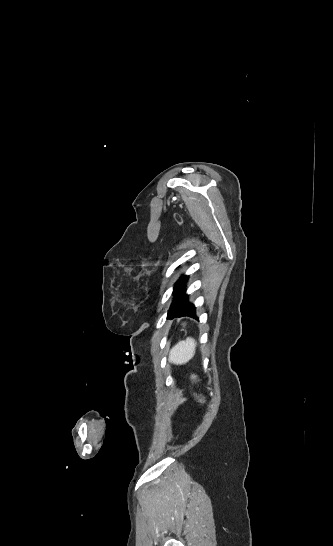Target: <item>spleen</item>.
I'll return each mask as SVG.
<instances>
[{"instance_id": "spleen-1", "label": "spleen", "mask_w": 333, "mask_h": 546, "mask_svg": "<svg viewBox=\"0 0 333 546\" xmlns=\"http://www.w3.org/2000/svg\"><path fill=\"white\" fill-rule=\"evenodd\" d=\"M196 350V341L188 337L185 341H180L170 352L169 362L175 365L186 364L193 358Z\"/></svg>"}]
</instances>
